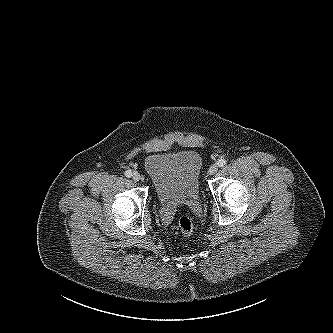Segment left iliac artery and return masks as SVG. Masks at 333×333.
Listing matches in <instances>:
<instances>
[{
    "mask_svg": "<svg viewBox=\"0 0 333 333\" xmlns=\"http://www.w3.org/2000/svg\"><path fill=\"white\" fill-rule=\"evenodd\" d=\"M226 163H227V161H226L225 159H219V160L217 161V165H218L219 167H223V166H225Z\"/></svg>",
    "mask_w": 333,
    "mask_h": 333,
    "instance_id": "obj_1",
    "label": "left iliac artery"
}]
</instances>
